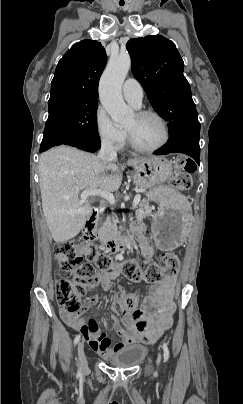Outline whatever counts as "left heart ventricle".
I'll return each instance as SVG.
<instances>
[{"label":"left heart ventricle","mask_w":243,"mask_h":404,"mask_svg":"<svg viewBox=\"0 0 243 404\" xmlns=\"http://www.w3.org/2000/svg\"><path fill=\"white\" fill-rule=\"evenodd\" d=\"M134 140L145 147L156 146L164 139V127L161 121L153 116H136L129 118L124 127Z\"/></svg>","instance_id":"left-heart-ventricle-1"}]
</instances>
